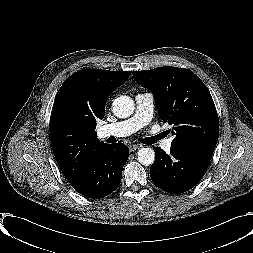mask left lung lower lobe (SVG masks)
I'll return each mask as SVG.
<instances>
[{"label": "left lung lower lobe", "instance_id": "obj_1", "mask_svg": "<svg viewBox=\"0 0 253 253\" xmlns=\"http://www.w3.org/2000/svg\"><path fill=\"white\" fill-rule=\"evenodd\" d=\"M156 159L150 167L153 183L160 189L179 194L193 188L204 176L213 151L188 146H171L170 154L154 147Z\"/></svg>", "mask_w": 253, "mask_h": 253}]
</instances>
